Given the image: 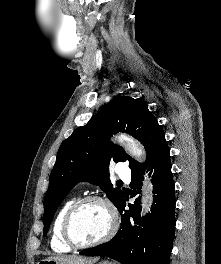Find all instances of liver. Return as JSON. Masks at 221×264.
I'll return each instance as SVG.
<instances>
[{
    "mask_svg": "<svg viewBox=\"0 0 221 264\" xmlns=\"http://www.w3.org/2000/svg\"><path fill=\"white\" fill-rule=\"evenodd\" d=\"M48 259H54L65 264H94L98 261V258H82L75 255L72 256H60V257H49Z\"/></svg>",
    "mask_w": 221,
    "mask_h": 264,
    "instance_id": "1",
    "label": "liver"
}]
</instances>
